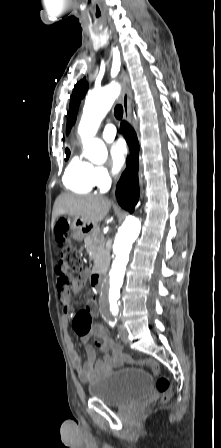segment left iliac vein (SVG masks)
Wrapping results in <instances>:
<instances>
[{
	"label": "left iliac vein",
	"instance_id": "1",
	"mask_svg": "<svg viewBox=\"0 0 221 448\" xmlns=\"http://www.w3.org/2000/svg\"><path fill=\"white\" fill-rule=\"evenodd\" d=\"M119 334H120V338L123 341V343L127 344L129 342L128 332L124 325L119 326Z\"/></svg>",
	"mask_w": 221,
	"mask_h": 448
}]
</instances>
